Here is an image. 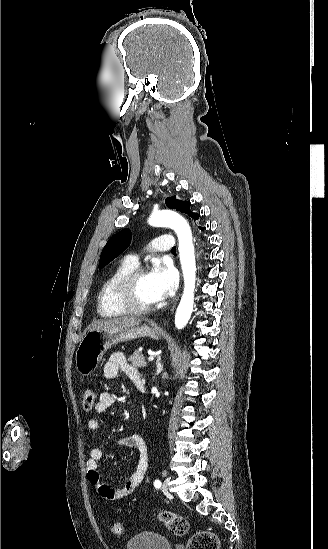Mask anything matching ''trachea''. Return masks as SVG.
I'll list each match as a JSON object with an SVG mask.
<instances>
[{"mask_svg": "<svg viewBox=\"0 0 328 549\" xmlns=\"http://www.w3.org/2000/svg\"><path fill=\"white\" fill-rule=\"evenodd\" d=\"M175 250H176V247H173V248H172V251H175Z\"/></svg>", "mask_w": 328, "mask_h": 549, "instance_id": "3493384b", "label": "trachea"}]
</instances>
